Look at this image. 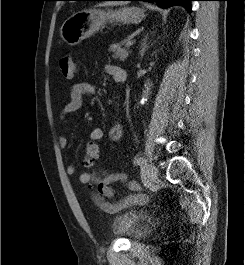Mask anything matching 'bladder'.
Returning <instances> with one entry per match:
<instances>
[{"instance_id": "obj_1", "label": "bladder", "mask_w": 245, "mask_h": 265, "mask_svg": "<svg viewBox=\"0 0 245 265\" xmlns=\"http://www.w3.org/2000/svg\"><path fill=\"white\" fill-rule=\"evenodd\" d=\"M153 227L154 221L151 215L134 211L116 216L113 232L115 235L129 240H138L148 236Z\"/></svg>"}]
</instances>
